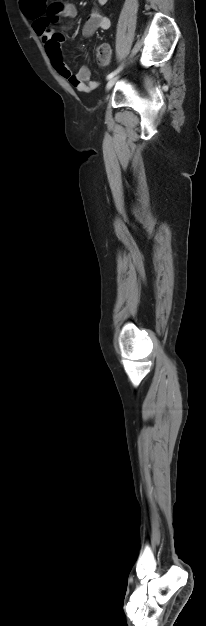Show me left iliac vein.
Instances as JSON below:
<instances>
[{"instance_id":"4c4485c4","label":"left iliac vein","mask_w":206,"mask_h":626,"mask_svg":"<svg viewBox=\"0 0 206 626\" xmlns=\"http://www.w3.org/2000/svg\"><path fill=\"white\" fill-rule=\"evenodd\" d=\"M117 80H118V76H114L111 79H109V81L106 84V90L111 89V87L116 83Z\"/></svg>"}]
</instances>
